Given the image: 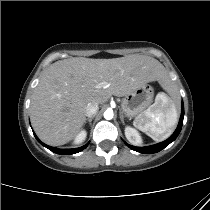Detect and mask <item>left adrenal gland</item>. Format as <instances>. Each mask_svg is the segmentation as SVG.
Returning <instances> with one entry per match:
<instances>
[{"label":"left adrenal gland","mask_w":210,"mask_h":210,"mask_svg":"<svg viewBox=\"0 0 210 210\" xmlns=\"http://www.w3.org/2000/svg\"><path fill=\"white\" fill-rule=\"evenodd\" d=\"M120 119H121V122L124 124V117H123L122 112H120Z\"/></svg>","instance_id":"1"}]
</instances>
